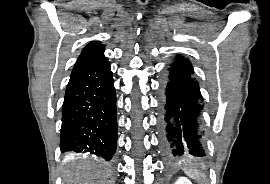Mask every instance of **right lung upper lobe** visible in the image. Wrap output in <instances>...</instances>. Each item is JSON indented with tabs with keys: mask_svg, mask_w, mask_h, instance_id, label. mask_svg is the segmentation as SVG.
I'll use <instances>...</instances> for the list:
<instances>
[{
	"mask_svg": "<svg viewBox=\"0 0 270 184\" xmlns=\"http://www.w3.org/2000/svg\"><path fill=\"white\" fill-rule=\"evenodd\" d=\"M107 59L104 56V46L99 42L89 43L81 52L74 68L95 63L101 60Z\"/></svg>",
	"mask_w": 270,
	"mask_h": 184,
	"instance_id": "right-lung-upper-lobe-1",
	"label": "right lung upper lobe"
}]
</instances>
